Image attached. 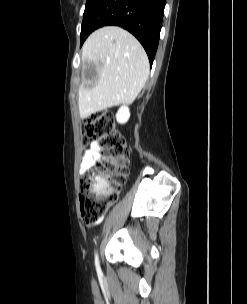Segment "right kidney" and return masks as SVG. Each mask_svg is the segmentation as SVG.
Returning <instances> with one entry per match:
<instances>
[{
	"label": "right kidney",
	"mask_w": 247,
	"mask_h": 304,
	"mask_svg": "<svg viewBox=\"0 0 247 304\" xmlns=\"http://www.w3.org/2000/svg\"><path fill=\"white\" fill-rule=\"evenodd\" d=\"M130 118V111L127 106H122L116 114V120L120 124H125Z\"/></svg>",
	"instance_id": "ca27d5eb"
}]
</instances>
